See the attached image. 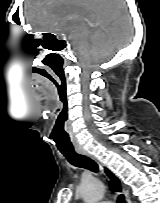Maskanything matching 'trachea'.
Listing matches in <instances>:
<instances>
[{"label": "trachea", "instance_id": "1", "mask_svg": "<svg viewBox=\"0 0 160 203\" xmlns=\"http://www.w3.org/2000/svg\"><path fill=\"white\" fill-rule=\"evenodd\" d=\"M61 153L65 156V158L76 167L87 168L93 172H98L99 168L97 163L91 158L78 154L75 150H61ZM118 203H126L125 197L123 195H119L117 198Z\"/></svg>", "mask_w": 160, "mask_h": 203}]
</instances>
